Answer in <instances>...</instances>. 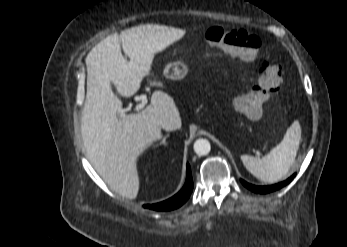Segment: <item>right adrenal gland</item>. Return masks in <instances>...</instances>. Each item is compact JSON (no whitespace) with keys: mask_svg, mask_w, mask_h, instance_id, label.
Segmentation results:
<instances>
[{"mask_svg":"<svg viewBox=\"0 0 347 247\" xmlns=\"http://www.w3.org/2000/svg\"><path fill=\"white\" fill-rule=\"evenodd\" d=\"M168 137H169V134L165 135L164 138L162 139V141L160 142L159 145H164V146H166V145H167V144H166V139H167Z\"/></svg>","mask_w":347,"mask_h":247,"instance_id":"1","label":"right adrenal gland"}]
</instances>
